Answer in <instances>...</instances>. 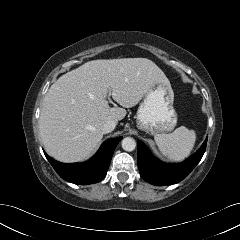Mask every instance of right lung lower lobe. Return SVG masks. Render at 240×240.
<instances>
[{
    "instance_id": "right-lung-lower-lobe-1",
    "label": "right lung lower lobe",
    "mask_w": 240,
    "mask_h": 240,
    "mask_svg": "<svg viewBox=\"0 0 240 240\" xmlns=\"http://www.w3.org/2000/svg\"><path fill=\"white\" fill-rule=\"evenodd\" d=\"M122 138L118 137L104 142L98 152L85 163H60L49 157L45 152L44 154L62 179L80 185L93 184L105 177L115 147Z\"/></svg>"
}]
</instances>
